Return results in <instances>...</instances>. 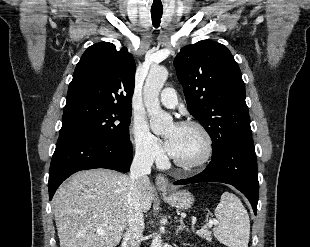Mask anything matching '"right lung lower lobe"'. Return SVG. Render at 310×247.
<instances>
[{
    "label": "right lung lower lobe",
    "mask_w": 310,
    "mask_h": 247,
    "mask_svg": "<svg viewBox=\"0 0 310 247\" xmlns=\"http://www.w3.org/2000/svg\"><path fill=\"white\" fill-rule=\"evenodd\" d=\"M131 162L130 140L116 144L88 134L60 135L49 170V199L59 185L77 171L107 168L127 172Z\"/></svg>",
    "instance_id": "obj_1"
}]
</instances>
